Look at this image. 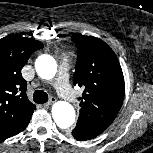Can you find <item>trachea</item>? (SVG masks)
I'll return each instance as SVG.
<instances>
[{
    "label": "trachea",
    "mask_w": 153,
    "mask_h": 153,
    "mask_svg": "<svg viewBox=\"0 0 153 153\" xmlns=\"http://www.w3.org/2000/svg\"><path fill=\"white\" fill-rule=\"evenodd\" d=\"M33 100L39 104L46 103L48 101V94L42 90H36L33 94Z\"/></svg>",
    "instance_id": "obj_1"
}]
</instances>
